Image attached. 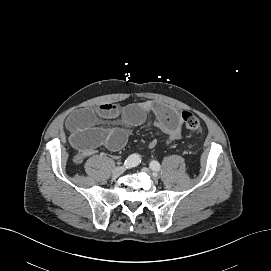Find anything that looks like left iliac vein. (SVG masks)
<instances>
[{
  "mask_svg": "<svg viewBox=\"0 0 271 271\" xmlns=\"http://www.w3.org/2000/svg\"><path fill=\"white\" fill-rule=\"evenodd\" d=\"M142 171L146 173L148 176H150L154 181L158 180V176L156 172L151 171L149 168L144 167L142 168Z\"/></svg>",
  "mask_w": 271,
  "mask_h": 271,
  "instance_id": "1",
  "label": "left iliac vein"
}]
</instances>
